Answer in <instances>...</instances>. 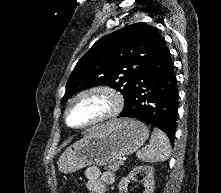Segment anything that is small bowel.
<instances>
[{
  "label": "small bowel",
  "instance_id": "small-bowel-1",
  "mask_svg": "<svg viewBox=\"0 0 221 193\" xmlns=\"http://www.w3.org/2000/svg\"><path fill=\"white\" fill-rule=\"evenodd\" d=\"M84 176L87 180V186L91 193H105L107 185L114 183V175L110 171H101L96 166L88 167Z\"/></svg>",
  "mask_w": 221,
  "mask_h": 193
}]
</instances>
